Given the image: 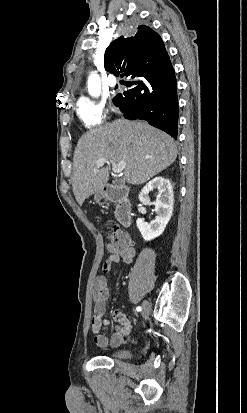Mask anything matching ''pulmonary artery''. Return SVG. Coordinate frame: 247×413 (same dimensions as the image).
Wrapping results in <instances>:
<instances>
[{"mask_svg":"<svg viewBox=\"0 0 247 413\" xmlns=\"http://www.w3.org/2000/svg\"><path fill=\"white\" fill-rule=\"evenodd\" d=\"M108 83L112 88L118 86L119 89H121V86L119 84V79L117 77H115L114 75L110 76V78L108 80Z\"/></svg>","mask_w":247,"mask_h":413,"instance_id":"obj_1","label":"pulmonary artery"}]
</instances>
